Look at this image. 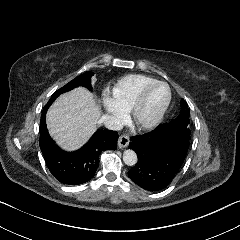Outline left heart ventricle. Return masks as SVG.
Instances as JSON below:
<instances>
[{"label": "left heart ventricle", "mask_w": 240, "mask_h": 240, "mask_svg": "<svg viewBox=\"0 0 240 240\" xmlns=\"http://www.w3.org/2000/svg\"><path fill=\"white\" fill-rule=\"evenodd\" d=\"M166 96V89L163 86H157L149 94L142 116L147 117L157 111Z\"/></svg>", "instance_id": "1"}]
</instances>
